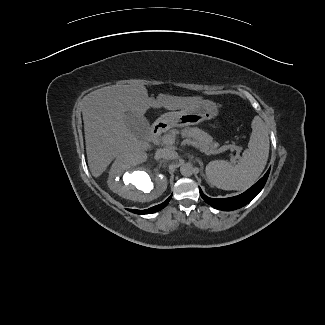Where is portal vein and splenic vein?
<instances>
[{"instance_id": "1", "label": "portal vein and splenic vein", "mask_w": 325, "mask_h": 325, "mask_svg": "<svg viewBox=\"0 0 325 325\" xmlns=\"http://www.w3.org/2000/svg\"><path fill=\"white\" fill-rule=\"evenodd\" d=\"M162 142L164 144H169V145H172L175 143V137L171 136V135H165L162 137ZM191 145L196 147V148H199L198 147V144L196 142H191ZM230 150V151H236V155L235 156H232L231 157V161L233 163L236 162V159H239L240 158V151H241V148L239 146H236V145H227V146H224L222 147L221 149L219 150H216V151H207L205 149L201 150L202 152H204L205 154L207 155H211V154H215V153H220L222 151H225V150Z\"/></svg>"}]
</instances>
